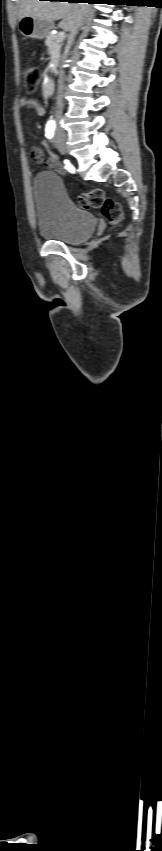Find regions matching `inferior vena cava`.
I'll return each mask as SVG.
<instances>
[{
    "label": "inferior vena cava",
    "mask_w": 162,
    "mask_h": 851,
    "mask_svg": "<svg viewBox=\"0 0 162 851\" xmlns=\"http://www.w3.org/2000/svg\"><path fill=\"white\" fill-rule=\"evenodd\" d=\"M85 5H87V4H85ZM87 14H88L87 10H85V8H83V10L80 14V17H79V25L71 31V34H70V37H69V43H72L74 41V38H75L76 34L78 33V29L82 25ZM64 80H65V78L61 77L60 82H59L58 93H57V101H56V111H55L56 132L62 133V134L64 132H63L61 126H60V120H61V117H62V112H63V107H64V103H63Z\"/></svg>",
    "instance_id": "1"
}]
</instances>
